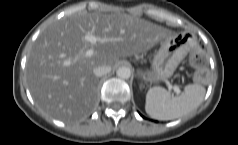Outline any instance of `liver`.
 Masks as SVG:
<instances>
[{
	"mask_svg": "<svg viewBox=\"0 0 238 145\" xmlns=\"http://www.w3.org/2000/svg\"><path fill=\"white\" fill-rule=\"evenodd\" d=\"M87 34L98 41L92 47ZM169 36L161 26L128 14L77 12L55 20L34 42L26 65L27 84L38 107L70 121L90 113L97 103L98 66L115 67L120 58L147 52Z\"/></svg>",
	"mask_w": 238,
	"mask_h": 145,
	"instance_id": "6515ba94",
	"label": "liver"
}]
</instances>
